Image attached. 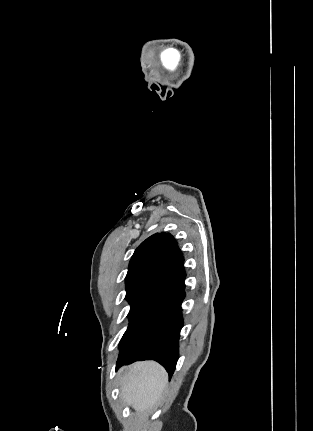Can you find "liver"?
Wrapping results in <instances>:
<instances>
[{"label":"liver","mask_w":313,"mask_h":431,"mask_svg":"<svg viewBox=\"0 0 313 431\" xmlns=\"http://www.w3.org/2000/svg\"><path fill=\"white\" fill-rule=\"evenodd\" d=\"M121 396L136 411H144L156 404L168 382L165 369L154 361L132 364L120 370Z\"/></svg>","instance_id":"liver-1"}]
</instances>
